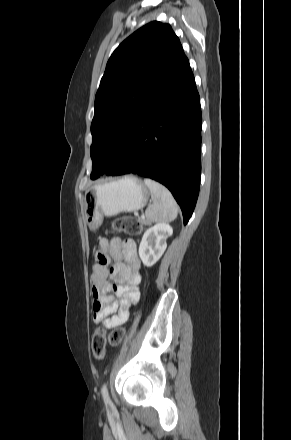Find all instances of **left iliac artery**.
<instances>
[{"mask_svg": "<svg viewBox=\"0 0 291 440\" xmlns=\"http://www.w3.org/2000/svg\"><path fill=\"white\" fill-rule=\"evenodd\" d=\"M101 393H102V397L104 399L105 404L106 405L111 404V399L108 394V389H107L106 383L103 384V386L101 388Z\"/></svg>", "mask_w": 291, "mask_h": 440, "instance_id": "44dca946", "label": "left iliac artery"}]
</instances>
